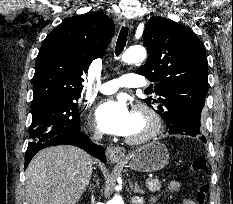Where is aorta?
I'll use <instances>...</instances> for the list:
<instances>
[{"instance_id": "762f6f07", "label": "aorta", "mask_w": 233, "mask_h": 204, "mask_svg": "<svg viewBox=\"0 0 233 204\" xmlns=\"http://www.w3.org/2000/svg\"><path fill=\"white\" fill-rule=\"evenodd\" d=\"M146 49L143 46L136 45L129 47L121 59L125 63H140L146 58ZM111 204H124L122 197L118 194L114 195Z\"/></svg>"}]
</instances>
